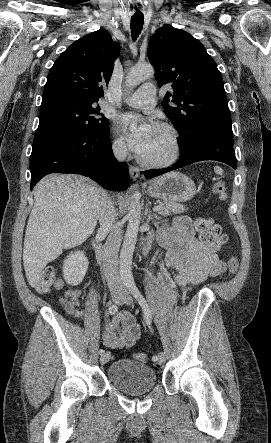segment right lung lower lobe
<instances>
[{"label": "right lung lower lobe", "instance_id": "1", "mask_svg": "<svg viewBox=\"0 0 271 443\" xmlns=\"http://www.w3.org/2000/svg\"><path fill=\"white\" fill-rule=\"evenodd\" d=\"M30 171L31 190L55 172L88 176L109 190H125L130 182L127 163L114 158L109 127L93 134L50 129L35 135Z\"/></svg>", "mask_w": 271, "mask_h": 443}]
</instances>
